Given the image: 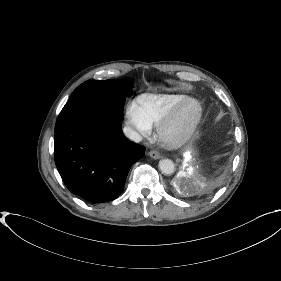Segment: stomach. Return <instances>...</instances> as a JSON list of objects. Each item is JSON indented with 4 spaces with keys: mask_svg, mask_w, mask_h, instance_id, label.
I'll list each match as a JSON object with an SVG mask.
<instances>
[{
    "mask_svg": "<svg viewBox=\"0 0 281 281\" xmlns=\"http://www.w3.org/2000/svg\"><path fill=\"white\" fill-rule=\"evenodd\" d=\"M176 82L172 81V80H164L161 83L162 88L164 89H172L174 86H176Z\"/></svg>",
    "mask_w": 281,
    "mask_h": 281,
    "instance_id": "stomach-1",
    "label": "stomach"
}]
</instances>
